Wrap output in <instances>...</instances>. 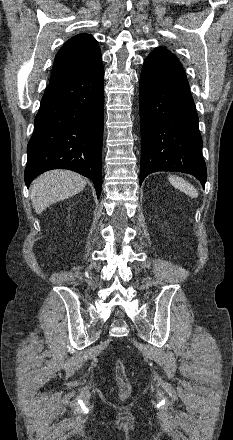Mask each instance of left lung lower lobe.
<instances>
[{"instance_id":"left-lung-lower-lobe-1","label":"left lung lower lobe","mask_w":233,"mask_h":440,"mask_svg":"<svg viewBox=\"0 0 233 440\" xmlns=\"http://www.w3.org/2000/svg\"><path fill=\"white\" fill-rule=\"evenodd\" d=\"M140 185L157 171L189 173L204 186L207 170L202 156L198 115L189 84L177 57L153 51L140 77Z\"/></svg>"}]
</instances>
